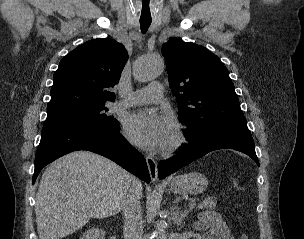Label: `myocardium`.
<instances>
[{"label": "myocardium", "mask_w": 304, "mask_h": 239, "mask_svg": "<svg viewBox=\"0 0 304 239\" xmlns=\"http://www.w3.org/2000/svg\"><path fill=\"white\" fill-rule=\"evenodd\" d=\"M188 140L189 136L186 128L181 124H177L175 126L174 134L168 143L167 151L173 153L182 149L188 143Z\"/></svg>", "instance_id": "1"}]
</instances>
